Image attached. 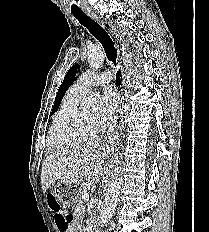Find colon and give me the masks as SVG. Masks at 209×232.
<instances>
[{
    "label": "colon",
    "mask_w": 209,
    "mask_h": 232,
    "mask_svg": "<svg viewBox=\"0 0 209 232\" xmlns=\"http://www.w3.org/2000/svg\"><path fill=\"white\" fill-rule=\"evenodd\" d=\"M45 197L48 206H52V210L55 213L56 226H59L61 229H66L72 222V215L57 204L53 193H46Z\"/></svg>",
    "instance_id": "obj_1"
}]
</instances>
